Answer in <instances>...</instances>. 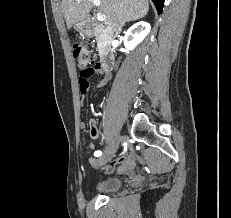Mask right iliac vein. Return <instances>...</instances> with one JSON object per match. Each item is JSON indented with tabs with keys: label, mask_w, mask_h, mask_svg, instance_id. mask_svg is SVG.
Listing matches in <instances>:
<instances>
[{
	"label": "right iliac vein",
	"mask_w": 231,
	"mask_h": 218,
	"mask_svg": "<svg viewBox=\"0 0 231 218\" xmlns=\"http://www.w3.org/2000/svg\"><path fill=\"white\" fill-rule=\"evenodd\" d=\"M121 141H122V137L119 135L111 142V144L104 151V154L99 158L98 160L99 166L104 165L114 156V154L119 148Z\"/></svg>",
	"instance_id": "obj_1"
}]
</instances>
